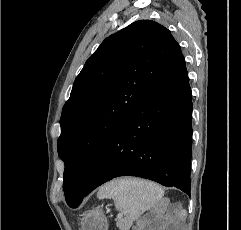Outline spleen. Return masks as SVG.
<instances>
[{"instance_id":"spleen-1","label":"spleen","mask_w":241,"mask_h":230,"mask_svg":"<svg viewBox=\"0 0 241 230\" xmlns=\"http://www.w3.org/2000/svg\"><path fill=\"white\" fill-rule=\"evenodd\" d=\"M163 196L164 191L158 184L129 177L113 180L103 185L97 193L98 199H112L116 210L126 213L130 224Z\"/></svg>"}]
</instances>
